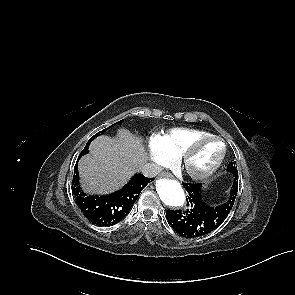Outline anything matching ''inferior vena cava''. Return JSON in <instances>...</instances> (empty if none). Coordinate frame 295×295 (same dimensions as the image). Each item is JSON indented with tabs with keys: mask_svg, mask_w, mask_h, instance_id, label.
<instances>
[{
	"mask_svg": "<svg viewBox=\"0 0 295 295\" xmlns=\"http://www.w3.org/2000/svg\"><path fill=\"white\" fill-rule=\"evenodd\" d=\"M162 171V167L155 163H147L141 168V172L146 177H155Z\"/></svg>",
	"mask_w": 295,
	"mask_h": 295,
	"instance_id": "inferior-vena-cava-1",
	"label": "inferior vena cava"
}]
</instances>
